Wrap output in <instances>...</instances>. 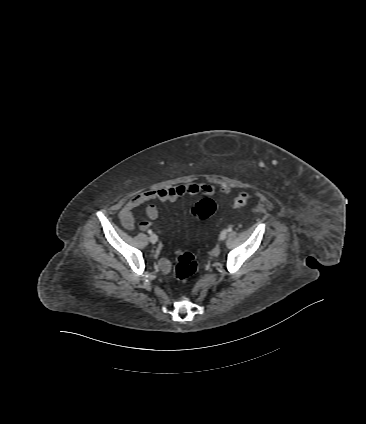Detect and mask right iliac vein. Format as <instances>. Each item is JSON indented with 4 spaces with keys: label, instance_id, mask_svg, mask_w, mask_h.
I'll return each instance as SVG.
<instances>
[{
    "label": "right iliac vein",
    "instance_id": "63e3f726",
    "mask_svg": "<svg viewBox=\"0 0 366 424\" xmlns=\"http://www.w3.org/2000/svg\"><path fill=\"white\" fill-rule=\"evenodd\" d=\"M149 239L151 243L155 244L158 240V237L155 234H151Z\"/></svg>",
    "mask_w": 366,
    "mask_h": 424
}]
</instances>
